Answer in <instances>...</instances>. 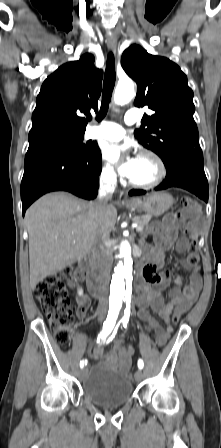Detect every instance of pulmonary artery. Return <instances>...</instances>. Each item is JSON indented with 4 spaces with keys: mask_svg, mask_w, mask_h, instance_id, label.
Listing matches in <instances>:
<instances>
[{
    "mask_svg": "<svg viewBox=\"0 0 221 448\" xmlns=\"http://www.w3.org/2000/svg\"><path fill=\"white\" fill-rule=\"evenodd\" d=\"M138 119V111L135 108L129 109L124 117V120L128 125L136 123ZM124 134V129L118 124L109 121H103L99 125L93 126L87 131V138L114 141L121 139Z\"/></svg>",
    "mask_w": 221,
    "mask_h": 448,
    "instance_id": "pulmonary-artery-1",
    "label": "pulmonary artery"
}]
</instances>
